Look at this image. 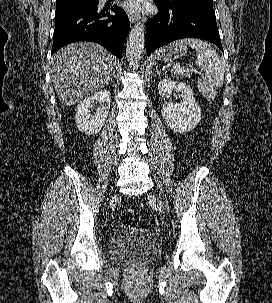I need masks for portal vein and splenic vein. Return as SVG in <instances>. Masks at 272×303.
Returning a JSON list of instances; mask_svg holds the SVG:
<instances>
[{
	"instance_id": "18ae733b",
	"label": "portal vein and splenic vein",
	"mask_w": 272,
	"mask_h": 303,
	"mask_svg": "<svg viewBox=\"0 0 272 303\" xmlns=\"http://www.w3.org/2000/svg\"><path fill=\"white\" fill-rule=\"evenodd\" d=\"M175 68L176 69H179V70H182V68L180 67V65H175ZM187 70H190V71H194L195 73H197L198 71L193 68L192 66H190V68H187Z\"/></svg>"
}]
</instances>
